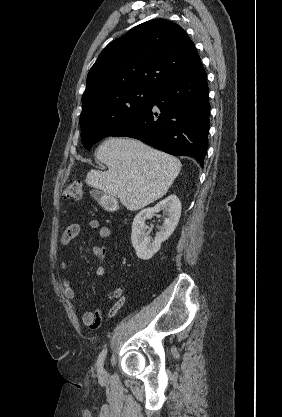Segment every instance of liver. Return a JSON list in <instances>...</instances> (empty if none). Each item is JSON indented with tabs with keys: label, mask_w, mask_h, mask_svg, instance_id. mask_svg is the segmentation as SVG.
<instances>
[{
	"label": "liver",
	"mask_w": 282,
	"mask_h": 417,
	"mask_svg": "<svg viewBox=\"0 0 282 417\" xmlns=\"http://www.w3.org/2000/svg\"><path fill=\"white\" fill-rule=\"evenodd\" d=\"M97 158L108 170L91 168L85 182L118 196L128 211H139L166 194L182 166L176 156L128 136L104 140Z\"/></svg>",
	"instance_id": "liver-1"
}]
</instances>
